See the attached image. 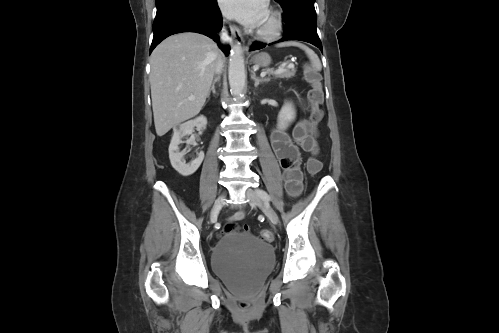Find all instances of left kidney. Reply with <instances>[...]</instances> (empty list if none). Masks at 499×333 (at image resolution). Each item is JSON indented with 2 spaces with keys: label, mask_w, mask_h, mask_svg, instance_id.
I'll return each mask as SVG.
<instances>
[{
  "label": "left kidney",
  "mask_w": 499,
  "mask_h": 333,
  "mask_svg": "<svg viewBox=\"0 0 499 333\" xmlns=\"http://www.w3.org/2000/svg\"><path fill=\"white\" fill-rule=\"evenodd\" d=\"M295 118V109L290 102H286L278 114V126L285 129Z\"/></svg>",
  "instance_id": "obj_1"
}]
</instances>
